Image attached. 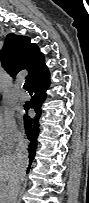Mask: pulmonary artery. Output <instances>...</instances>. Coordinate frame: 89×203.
<instances>
[{
	"label": "pulmonary artery",
	"mask_w": 89,
	"mask_h": 203,
	"mask_svg": "<svg viewBox=\"0 0 89 203\" xmlns=\"http://www.w3.org/2000/svg\"><path fill=\"white\" fill-rule=\"evenodd\" d=\"M17 98L20 100V101H26L28 99V95L27 93L23 92V91H20L18 92L17 94Z\"/></svg>",
	"instance_id": "1"
}]
</instances>
